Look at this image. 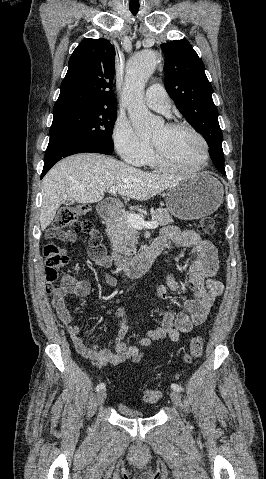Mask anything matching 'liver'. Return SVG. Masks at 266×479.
<instances>
[{"mask_svg": "<svg viewBox=\"0 0 266 479\" xmlns=\"http://www.w3.org/2000/svg\"><path fill=\"white\" fill-rule=\"evenodd\" d=\"M186 178L147 173L105 155H72L57 163L43 178L41 230L51 224L65 200L99 202L110 187L117 186L120 195L145 201Z\"/></svg>", "mask_w": 266, "mask_h": 479, "instance_id": "1", "label": "liver"}]
</instances>
